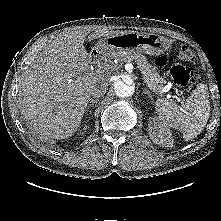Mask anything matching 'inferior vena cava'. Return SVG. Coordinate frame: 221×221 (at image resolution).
Segmentation results:
<instances>
[{
  "label": "inferior vena cava",
  "mask_w": 221,
  "mask_h": 221,
  "mask_svg": "<svg viewBox=\"0 0 221 221\" xmlns=\"http://www.w3.org/2000/svg\"><path fill=\"white\" fill-rule=\"evenodd\" d=\"M106 85L107 83L102 82L94 86V88L92 89V95L97 98L104 95L106 92Z\"/></svg>",
  "instance_id": "1"
}]
</instances>
